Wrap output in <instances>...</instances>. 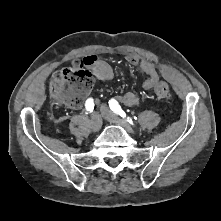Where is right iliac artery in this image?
Segmentation results:
<instances>
[{"mask_svg":"<svg viewBox=\"0 0 221 221\" xmlns=\"http://www.w3.org/2000/svg\"><path fill=\"white\" fill-rule=\"evenodd\" d=\"M85 108L86 110L91 113L94 109V101L92 98H89L86 100V103H85Z\"/></svg>","mask_w":221,"mask_h":221,"instance_id":"1","label":"right iliac artery"}]
</instances>
